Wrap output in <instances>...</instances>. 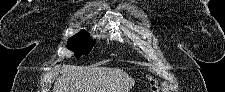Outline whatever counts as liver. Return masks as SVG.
Listing matches in <instances>:
<instances>
[{"label":"liver","mask_w":225,"mask_h":92,"mask_svg":"<svg viewBox=\"0 0 225 92\" xmlns=\"http://www.w3.org/2000/svg\"><path fill=\"white\" fill-rule=\"evenodd\" d=\"M59 71L53 92H130L135 84L131 76L117 68L63 65Z\"/></svg>","instance_id":"liver-1"}]
</instances>
